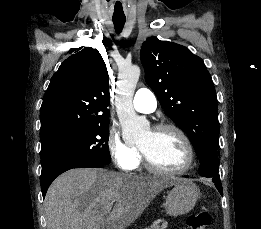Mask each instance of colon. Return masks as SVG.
Returning <instances> with one entry per match:
<instances>
[{"mask_svg": "<svg viewBox=\"0 0 261 229\" xmlns=\"http://www.w3.org/2000/svg\"><path fill=\"white\" fill-rule=\"evenodd\" d=\"M211 224V215L206 211L192 212L186 220L187 229H210Z\"/></svg>", "mask_w": 261, "mask_h": 229, "instance_id": "1", "label": "colon"}]
</instances>
